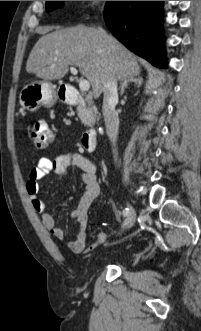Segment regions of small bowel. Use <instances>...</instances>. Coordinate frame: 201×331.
<instances>
[{
  "label": "small bowel",
  "instance_id": "1",
  "mask_svg": "<svg viewBox=\"0 0 201 331\" xmlns=\"http://www.w3.org/2000/svg\"><path fill=\"white\" fill-rule=\"evenodd\" d=\"M71 166H77L82 170L81 180L85 185L83 195L79 199L77 206L70 213V217L76 222L75 239L67 243L70 251L79 254L91 251L105 241V234L99 233L95 241L89 247H86L88 210L100 194L95 164L78 152L62 154L53 160L47 157H40L29 172L26 191L34 210L40 214L44 227L56 239L63 241L65 239L63 229L56 225L53 215L46 209V203L39 197V181L51 171H54L61 177H66L67 170Z\"/></svg>",
  "mask_w": 201,
  "mask_h": 331
}]
</instances>
